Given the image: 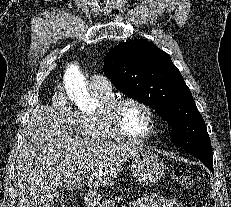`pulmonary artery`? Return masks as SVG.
Instances as JSON below:
<instances>
[{"instance_id": "e3ab8cb5", "label": "pulmonary artery", "mask_w": 231, "mask_h": 207, "mask_svg": "<svg viewBox=\"0 0 231 207\" xmlns=\"http://www.w3.org/2000/svg\"><path fill=\"white\" fill-rule=\"evenodd\" d=\"M89 85L91 89L103 90V91L112 90V84L110 80L106 76L101 74L93 75L90 78Z\"/></svg>"}]
</instances>
